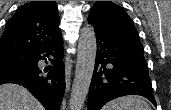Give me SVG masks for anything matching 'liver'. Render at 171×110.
Returning a JSON list of instances; mask_svg holds the SVG:
<instances>
[{
  "instance_id": "1",
  "label": "liver",
  "mask_w": 171,
  "mask_h": 110,
  "mask_svg": "<svg viewBox=\"0 0 171 110\" xmlns=\"http://www.w3.org/2000/svg\"><path fill=\"white\" fill-rule=\"evenodd\" d=\"M0 110H44L40 102L17 84L0 85Z\"/></svg>"
}]
</instances>
